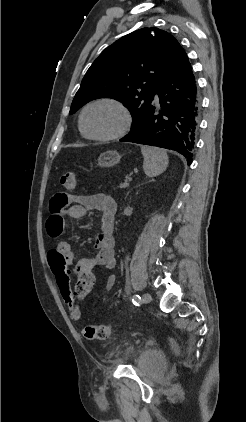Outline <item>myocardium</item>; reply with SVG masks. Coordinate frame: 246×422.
<instances>
[{
    "mask_svg": "<svg viewBox=\"0 0 246 422\" xmlns=\"http://www.w3.org/2000/svg\"><path fill=\"white\" fill-rule=\"evenodd\" d=\"M98 104H111L113 106H115L116 108L119 109V111L122 114L123 117V122L121 127L114 133L112 134H108V135H94L91 134L85 127V114L87 112V110L95 105ZM132 125V115L130 113V110L128 109V107L121 102L118 99L115 98H111V97H103V98H98L95 99L91 102H89L88 104H86L79 116V128L81 130V132L83 133V135L91 140H95V141H101V142H108V141H113L116 139H119L121 137H123L125 134H127V132L130 130Z\"/></svg>",
    "mask_w": 246,
    "mask_h": 422,
    "instance_id": "f54148a6",
    "label": "myocardium"
}]
</instances>
